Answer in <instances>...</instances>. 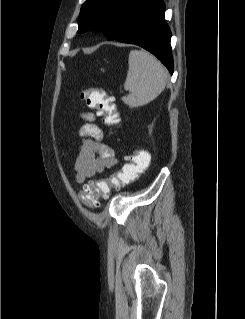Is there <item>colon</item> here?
Here are the masks:
<instances>
[{"instance_id": "obj_1", "label": "colon", "mask_w": 245, "mask_h": 319, "mask_svg": "<svg viewBox=\"0 0 245 319\" xmlns=\"http://www.w3.org/2000/svg\"><path fill=\"white\" fill-rule=\"evenodd\" d=\"M81 97L88 107L98 112L103 123L115 125L119 122L115 99L108 96L105 90L99 88L86 89L82 91ZM126 159L127 161L122 169L110 179H92L85 184L79 192L80 200L88 206L96 207L99 204V198L106 197L111 188L118 190L147 172L150 163L147 152L138 150L127 156Z\"/></svg>"}]
</instances>
